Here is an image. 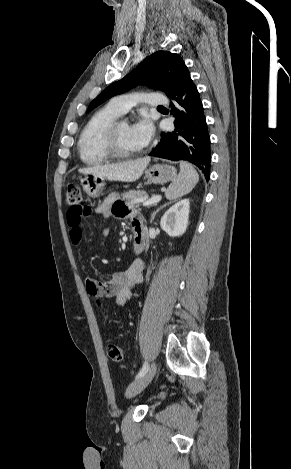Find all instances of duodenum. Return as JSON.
<instances>
[{
	"instance_id": "duodenum-1",
	"label": "duodenum",
	"mask_w": 291,
	"mask_h": 469,
	"mask_svg": "<svg viewBox=\"0 0 291 469\" xmlns=\"http://www.w3.org/2000/svg\"><path fill=\"white\" fill-rule=\"evenodd\" d=\"M134 229L133 249L136 254L143 251L145 247V233L143 227L136 226Z\"/></svg>"
}]
</instances>
